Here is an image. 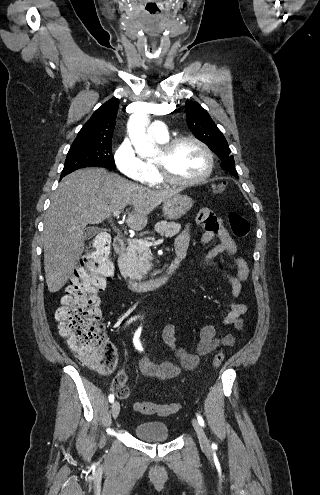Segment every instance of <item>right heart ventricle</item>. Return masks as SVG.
Returning a JSON list of instances; mask_svg holds the SVG:
<instances>
[{"label": "right heart ventricle", "mask_w": 320, "mask_h": 495, "mask_svg": "<svg viewBox=\"0 0 320 495\" xmlns=\"http://www.w3.org/2000/svg\"><path fill=\"white\" fill-rule=\"evenodd\" d=\"M160 143H164L165 141H161V140H158ZM146 165L148 166V168L152 171V174H153V178L151 180V184L153 185H159L161 184L163 181L161 180V178L159 177L158 173H157V170L154 166V164L152 162H147Z\"/></svg>", "instance_id": "e07e8e85"}]
</instances>
